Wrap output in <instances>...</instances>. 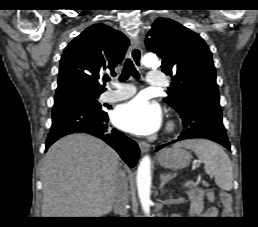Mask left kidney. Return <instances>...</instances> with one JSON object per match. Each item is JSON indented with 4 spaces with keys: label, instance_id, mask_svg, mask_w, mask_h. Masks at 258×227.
<instances>
[{
    "label": "left kidney",
    "instance_id": "obj_1",
    "mask_svg": "<svg viewBox=\"0 0 258 227\" xmlns=\"http://www.w3.org/2000/svg\"><path fill=\"white\" fill-rule=\"evenodd\" d=\"M193 184L192 181H187L184 186L185 187H190ZM189 197H190V214H196L199 215L204 209V202H203V196H204V191L195 188L191 189L190 192H188Z\"/></svg>",
    "mask_w": 258,
    "mask_h": 227
}]
</instances>
